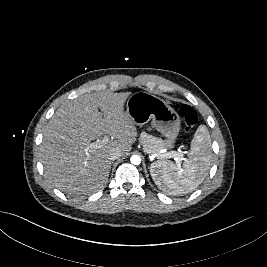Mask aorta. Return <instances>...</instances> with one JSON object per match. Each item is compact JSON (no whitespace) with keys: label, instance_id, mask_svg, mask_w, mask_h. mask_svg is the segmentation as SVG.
Wrapping results in <instances>:
<instances>
[{"label":"aorta","instance_id":"obj_1","mask_svg":"<svg viewBox=\"0 0 267 267\" xmlns=\"http://www.w3.org/2000/svg\"><path fill=\"white\" fill-rule=\"evenodd\" d=\"M130 161L134 165H139L141 163V158L139 155H132Z\"/></svg>","mask_w":267,"mask_h":267}]
</instances>
